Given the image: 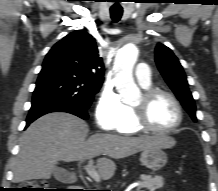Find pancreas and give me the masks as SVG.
<instances>
[{
    "mask_svg": "<svg viewBox=\"0 0 218 191\" xmlns=\"http://www.w3.org/2000/svg\"><path fill=\"white\" fill-rule=\"evenodd\" d=\"M140 188H147L149 191H155L163 187L164 179L162 176H150L141 175L140 176Z\"/></svg>",
    "mask_w": 218,
    "mask_h": 191,
    "instance_id": "obj_1",
    "label": "pancreas"
}]
</instances>
